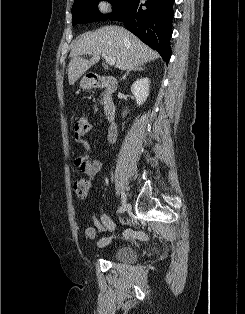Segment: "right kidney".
<instances>
[{
  "mask_svg": "<svg viewBox=\"0 0 245 314\" xmlns=\"http://www.w3.org/2000/svg\"><path fill=\"white\" fill-rule=\"evenodd\" d=\"M150 80L141 78L135 81L131 86V92L136 98L138 106H141L149 96Z\"/></svg>",
  "mask_w": 245,
  "mask_h": 314,
  "instance_id": "ca27d5eb",
  "label": "right kidney"
}]
</instances>
